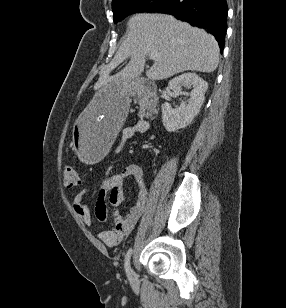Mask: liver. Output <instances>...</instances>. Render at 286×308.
Listing matches in <instances>:
<instances>
[{"label":"liver","mask_w":286,"mask_h":308,"mask_svg":"<svg viewBox=\"0 0 286 308\" xmlns=\"http://www.w3.org/2000/svg\"><path fill=\"white\" fill-rule=\"evenodd\" d=\"M128 29V37L112 61L101 67L95 90L112 82L135 79L144 71L146 56L152 51L161 56L147 72L153 80L189 70L211 73L218 66L219 46L215 38L170 15L137 14L128 21ZM129 57V63L111 76V71Z\"/></svg>","instance_id":"1"}]
</instances>
